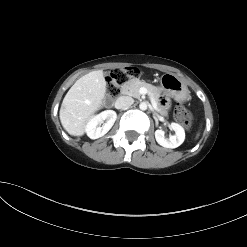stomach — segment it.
Segmentation results:
<instances>
[{"label":"stomach","instance_id":"stomach-1","mask_svg":"<svg viewBox=\"0 0 247 247\" xmlns=\"http://www.w3.org/2000/svg\"><path fill=\"white\" fill-rule=\"evenodd\" d=\"M161 87L176 101H186L189 97L187 86L175 75L166 73L160 80Z\"/></svg>","mask_w":247,"mask_h":247}]
</instances>
